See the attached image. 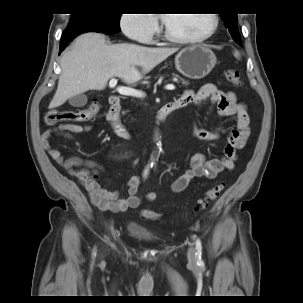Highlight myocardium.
<instances>
[{
    "label": "myocardium",
    "mask_w": 303,
    "mask_h": 303,
    "mask_svg": "<svg viewBox=\"0 0 303 303\" xmlns=\"http://www.w3.org/2000/svg\"><path fill=\"white\" fill-rule=\"evenodd\" d=\"M212 16V25L209 30H207L204 34L195 37H182L173 34L170 29L167 27L166 23L163 26V35L165 38L172 42L180 43V44H188V43H199L202 42L209 37H211L218 28L219 18L215 13L210 14Z\"/></svg>",
    "instance_id": "f54148a6"
}]
</instances>
